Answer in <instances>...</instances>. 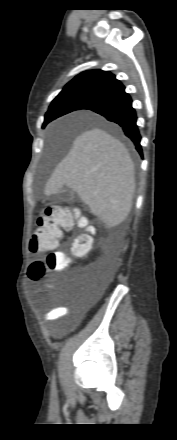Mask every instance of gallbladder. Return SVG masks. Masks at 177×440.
Instances as JSON below:
<instances>
[{"mask_svg": "<svg viewBox=\"0 0 177 440\" xmlns=\"http://www.w3.org/2000/svg\"><path fill=\"white\" fill-rule=\"evenodd\" d=\"M76 198L73 191L68 188H61L59 192L54 196L53 202H71Z\"/></svg>", "mask_w": 177, "mask_h": 440, "instance_id": "1", "label": "gallbladder"}]
</instances>
